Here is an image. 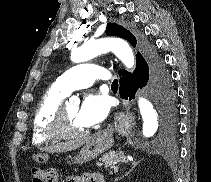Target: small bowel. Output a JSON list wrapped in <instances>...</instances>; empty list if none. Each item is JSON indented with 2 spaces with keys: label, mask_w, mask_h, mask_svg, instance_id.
I'll list each match as a JSON object with an SVG mask.
<instances>
[{
  "label": "small bowel",
  "mask_w": 211,
  "mask_h": 182,
  "mask_svg": "<svg viewBox=\"0 0 211 182\" xmlns=\"http://www.w3.org/2000/svg\"><path fill=\"white\" fill-rule=\"evenodd\" d=\"M32 182L34 178L32 177ZM67 182H105L104 178L100 174H87L84 176H70L67 178Z\"/></svg>",
  "instance_id": "small-bowel-1"
}]
</instances>
